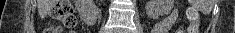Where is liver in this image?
Segmentation results:
<instances>
[{
	"label": "liver",
	"mask_w": 235,
	"mask_h": 33,
	"mask_svg": "<svg viewBox=\"0 0 235 33\" xmlns=\"http://www.w3.org/2000/svg\"><path fill=\"white\" fill-rule=\"evenodd\" d=\"M52 8V4L50 0H38V12L40 16L46 17Z\"/></svg>",
	"instance_id": "6515ba94"
}]
</instances>
